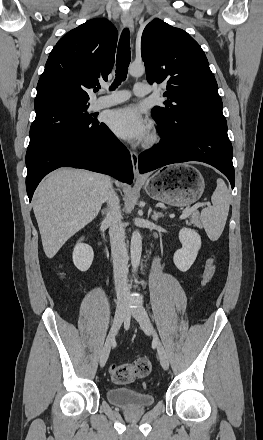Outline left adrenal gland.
<instances>
[{
    "mask_svg": "<svg viewBox=\"0 0 263 440\" xmlns=\"http://www.w3.org/2000/svg\"><path fill=\"white\" fill-rule=\"evenodd\" d=\"M161 217H164V215L161 212H156V211L153 212L152 219L154 221H158V219Z\"/></svg>",
    "mask_w": 263,
    "mask_h": 440,
    "instance_id": "1",
    "label": "left adrenal gland"
}]
</instances>
